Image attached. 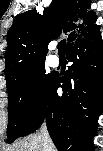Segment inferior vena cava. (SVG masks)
Returning a JSON list of instances; mask_svg holds the SVG:
<instances>
[{"mask_svg": "<svg viewBox=\"0 0 103 151\" xmlns=\"http://www.w3.org/2000/svg\"><path fill=\"white\" fill-rule=\"evenodd\" d=\"M40 135H41L42 142H43V151H48L47 148H48L49 144H53V143L49 137V134H48V131H47L45 124L42 125Z\"/></svg>", "mask_w": 103, "mask_h": 151, "instance_id": "inferior-vena-cava-1", "label": "inferior vena cava"}]
</instances>
